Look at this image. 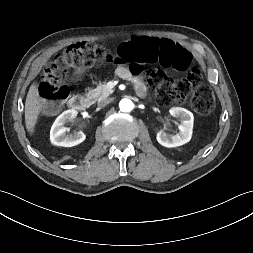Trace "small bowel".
Listing matches in <instances>:
<instances>
[{
  "label": "small bowel",
  "instance_id": "obj_1",
  "mask_svg": "<svg viewBox=\"0 0 253 253\" xmlns=\"http://www.w3.org/2000/svg\"><path fill=\"white\" fill-rule=\"evenodd\" d=\"M139 65H143L141 63H138ZM83 74V69L79 68L77 71H76V77L79 78L81 77ZM117 74L118 76H120L121 78H124V79H133L134 78V74L131 72V70L128 68V67H125V66H119L117 68ZM136 90L139 94H143L145 92V86L144 84L139 81V80H136Z\"/></svg>",
  "mask_w": 253,
  "mask_h": 253
}]
</instances>
